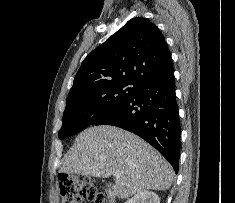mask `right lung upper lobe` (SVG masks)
Returning <instances> with one entry per match:
<instances>
[{
    "instance_id": "obj_1",
    "label": "right lung upper lobe",
    "mask_w": 235,
    "mask_h": 203,
    "mask_svg": "<svg viewBox=\"0 0 235 203\" xmlns=\"http://www.w3.org/2000/svg\"><path fill=\"white\" fill-rule=\"evenodd\" d=\"M172 66L164 36L147 19H130L83 60L69 93L111 80L137 83Z\"/></svg>"
}]
</instances>
